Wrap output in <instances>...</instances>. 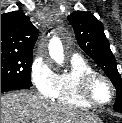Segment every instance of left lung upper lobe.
<instances>
[{"label": "left lung upper lobe", "mask_w": 122, "mask_h": 123, "mask_svg": "<svg viewBox=\"0 0 122 123\" xmlns=\"http://www.w3.org/2000/svg\"><path fill=\"white\" fill-rule=\"evenodd\" d=\"M68 20L81 49L88 54L106 73L117 90L114 110L122 113V80L116 60L104 34L103 24L90 12L75 11Z\"/></svg>", "instance_id": "1"}]
</instances>
